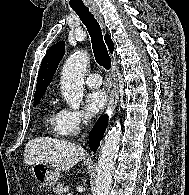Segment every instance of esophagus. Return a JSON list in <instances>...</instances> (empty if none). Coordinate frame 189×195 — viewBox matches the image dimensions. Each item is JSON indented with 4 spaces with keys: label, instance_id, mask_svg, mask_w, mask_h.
I'll return each mask as SVG.
<instances>
[{
    "label": "esophagus",
    "instance_id": "1",
    "mask_svg": "<svg viewBox=\"0 0 189 195\" xmlns=\"http://www.w3.org/2000/svg\"><path fill=\"white\" fill-rule=\"evenodd\" d=\"M90 9H91L92 13L94 14V16L96 17V19L98 20V22L100 23L101 27L103 29H105L103 18L98 10V7L91 6ZM110 75H111L112 80H113V89L111 91L110 99H109V102H108V105L106 108V114L108 116H110L112 114V112L114 111V109L117 105L118 99H119L115 59L112 60V67H111Z\"/></svg>",
    "mask_w": 189,
    "mask_h": 195
}]
</instances>
